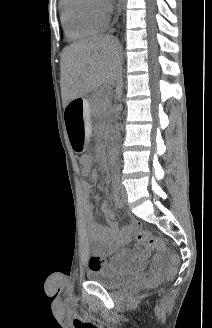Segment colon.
I'll list each match as a JSON object with an SVG mask.
<instances>
[{
  "label": "colon",
  "mask_w": 212,
  "mask_h": 328,
  "mask_svg": "<svg viewBox=\"0 0 212 328\" xmlns=\"http://www.w3.org/2000/svg\"><path fill=\"white\" fill-rule=\"evenodd\" d=\"M79 169L83 170L84 173H91L93 165H92V156L90 153H81L79 157ZM134 239L140 243L142 246L147 248L156 249L158 252V256H162L167 254V248L164 241L158 237L152 235L149 231H137L133 234ZM99 256L93 255L90 258L91 265H97L99 263ZM179 264V258L176 255H169L167 267L169 274L172 275Z\"/></svg>",
  "instance_id": "obj_1"
}]
</instances>
